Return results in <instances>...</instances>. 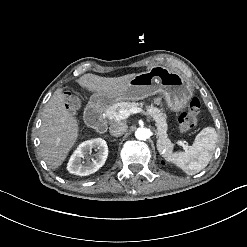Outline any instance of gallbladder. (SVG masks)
<instances>
[{"mask_svg":"<svg viewBox=\"0 0 247 247\" xmlns=\"http://www.w3.org/2000/svg\"><path fill=\"white\" fill-rule=\"evenodd\" d=\"M68 103L71 106V111H74L75 109L79 108V98L78 97H75V96L71 97L68 100Z\"/></svg>","mask_w":247,"mask_h":247,"instance_id":"gallbladder-1","label":"gallbladder"}]
</instances>
